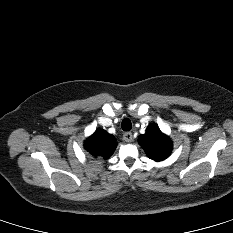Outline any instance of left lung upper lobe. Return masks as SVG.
Returning <instances> with one entry per match:
<instances>
[{
  "label": "left lung upper lobe",
  "instance_id": "5c2ea615",
  "mask_svg": "<svg viewBox=\"0 0 233 233\" xmlns=\"http://www.w3.org/2000/svg\"><path fill=\"white\" fill-rule=\"evenodd\" d=\"M139 143L148 157L154 161L165 160L172 151L171 140L155 124L147 127L146 133L139 137Z\"/></svg>",
  "mask_w": 233,
  "mask_h": 233
}]
</instances>
